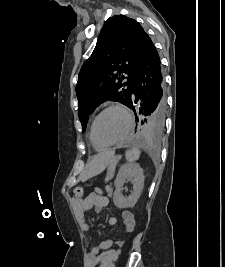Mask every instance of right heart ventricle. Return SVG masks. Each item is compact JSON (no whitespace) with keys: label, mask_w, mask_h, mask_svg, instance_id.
Returning a JSON list of instances; mask_svg holds the SVG:
<instances>
[{"label":"right heart ventricle","mask_w":225,"mask_h":267,"mask_svg":"<svg viewBox=\"0 0 225 267\" xmlns=\"http://www.w3.org/2000/svg\"><path fill=\"white\" fill-rule=\"evenodd\" d=\"M92 125V124H91ZM91 125H90V128H89V131H88V138H89V141L92 145V147L96 150H103L105 149V147H101L99 145H96L93 141H92V138H91Z\"/></svg>","instance_id":"1"}]
</instances>
